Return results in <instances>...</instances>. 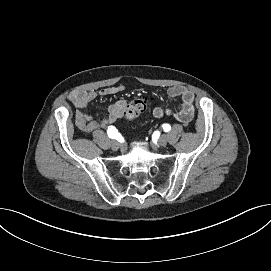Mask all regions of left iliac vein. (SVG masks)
Returning <instances> with one entry per match:
<instances>
[{"label": "left iliac vein", "instance_id": "left-iliac-vein-1", "mask_svg": "<svg viewBox=\"0 0 271 271\" xmlns=\"http://www.w3.org/2000/svg\"><path fill=\"white\" fill-rule=\"evenodd\" d=\"M168 142L167 136L166 135H162L159 137L158 139V144L161 146H165Z\"/></svg>", "mask_w": 271, "mask_h": 271}]
</instances>
